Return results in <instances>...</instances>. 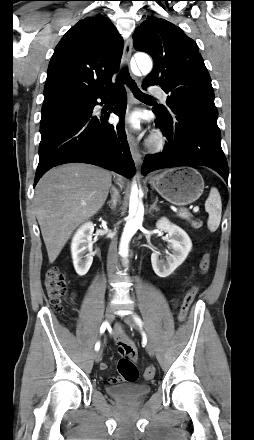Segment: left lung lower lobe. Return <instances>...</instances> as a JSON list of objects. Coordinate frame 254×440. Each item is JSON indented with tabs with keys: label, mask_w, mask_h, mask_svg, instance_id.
Returning <instances> with one entry per match:
<instances>
[{
	"label": "left lung lower lobe",
	"mask_w": 254,
	"mask_h": 440,
	"mask_svg": "<svg viewBox=\"0 0 254 440\" xmlns=\"http://www.w3.org/2000/svg\"><path fill=\"white\" fill-rule=\"evenodd\" d=\"M143 88L148 85L142 84ZM160 127L168 139L162 153L145 156L142 174L161 168L207 166L228 182V165L221 148V133L217 115L193 106L173 104L171 115L153 109Z\"/></svg>",
	"instance_id": "left-lung-lower-lobe-1"
}]
</instances>
